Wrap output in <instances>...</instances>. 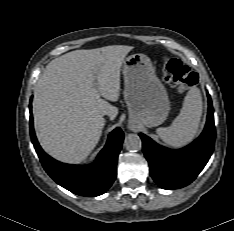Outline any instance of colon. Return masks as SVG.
<instances>
[{
  "mask_svg": "<svg viewBox=\"0 0 234 231\" xmlns=\"http://www.w3.org/2000/svg\"><path fill=\"white\" fill-rule=\"evenodd\" d=\"M164 81L180 91L197 86L198 76L176 58L165 57L162 63Z\"/></svg>",
  "mask_w": 234,
  "mask_h": 231,
  "instance_id": "5ec220e1",
  "label": "colon"
}]
</instances>
